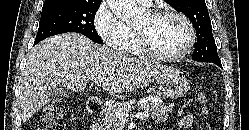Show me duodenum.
I'll return each mask as SVG.
<instances>
[{
    "mask_svg": "<svg viewBox=\"0 0 249 130\" xmlns=\"http://www.w3.org/2000/svg\"><path fill=\"white\" fill-rule=\"evenodd\" d=\"M86 107L91 115H98L103 111V104L98 97L89 98ZM82 130H91V127H84Z\"/></svg>",
    "mask_w": 249,
    "mask_h": 130,
    "instance_id": "duodenum-1",
    "label": "duodenum"
}]
</instances>
